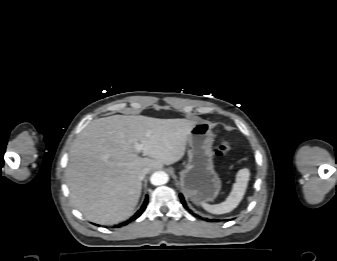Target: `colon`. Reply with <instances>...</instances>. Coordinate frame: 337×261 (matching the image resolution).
<instances>
[{"label":"colon","instance_id":"5ec220e1","mask_svg":"<svg viewBox=\"0 0 337 261\" xmlns=\"http://www.w3.org/2000/svg\"><path fill=\"white\" fill-rule=\"evenodd\" d=\"M232 151V146L228 141H224L216 151L218 157H225Z\"/></svg>","mask_w":337,"mask_h":261}]
</instances>
